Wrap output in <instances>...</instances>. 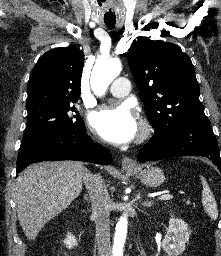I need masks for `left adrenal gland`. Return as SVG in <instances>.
Returning <instances> with one entry per match:
<instances>
[{
    "label": "left adrenal gland",
    "instance_id": "obj_1",
    "mask_svg": "<svg viewBox=\"0 0 221 256\" xmlns=\"http://www.w3.org/2000/svg\"><path fill=\"white\" fill-rule=\"evenodd\" d=\"M152 204H153V201H144V202L142 203V205H143L144 207H151Z\"/></svg>",
    "mask_w": 221,
    "mask_h": 256
}]
</instances>
